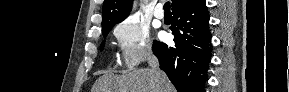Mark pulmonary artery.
Instances as JSON below:
<instances>
[{"label": "pulmonary artery", "instance_id": "1", "mask_svg": "<svg viewBox=\"0 0 289 92\" xmlns=\"http://www.w3.org/2000/svg\"><path fill=\"white\" fill-rule=\"evenodd\" d=\"M154 16L158 19H163L164 18V13L162 11V7L160 4H158L154 10Z\"/></svg>", "mask_w": 289, "mask_h": 92}]
</instances>
